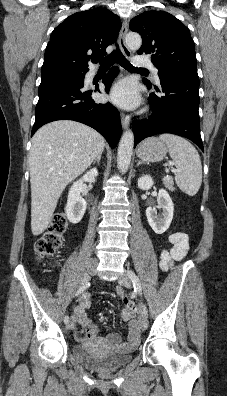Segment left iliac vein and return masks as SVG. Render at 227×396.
I'll use <instances>...</instances> for the list:
<instances>
[{"instance_id": "obj_1", "label": "left iliac vein", "mask_w": 227, "mask_h": 396, "mask_svg": "<svg viewBox=\"0 0 227 396\" xmlns=\"http://www.w3.org/2000/svg\"><path fill=\"white\" fill-rule=\"evenodd\" d=\"M118 282L125 286V287H131L132 286V280L129 277L127 272H124L118 279ZM139 324L141 329L144 331L147 329L148 327V319L147 316L145 314V311L142 307V304H140V314H139Z\"/></svg>"}]
</instances>
